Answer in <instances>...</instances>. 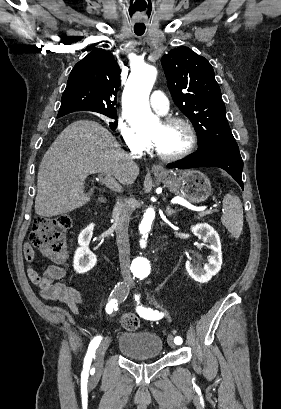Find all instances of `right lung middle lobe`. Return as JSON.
I'll use <instances>...</instances> for the list:
<instances>
[{
  "mask_svg": "<svg viewBox=\"0 0 281 409\" xmlns=\"http://www.w3.org/2000/svg\"><path fill=\"white\" fill-rule=\"evenodd\" d=\"M101 114H103V115H105V116H108L109 118H112V119H117V114H116V112H101Z\"/></svg>",
  "mask_w": 281,
  "mask_h": 409,
  "instance_id": "1",
  "label": "right lung middle lobe"
}]
</instances>
